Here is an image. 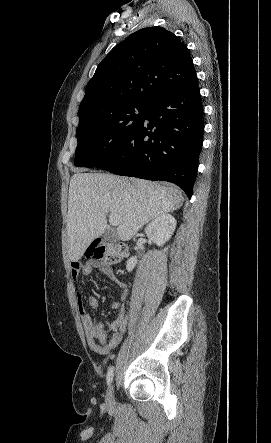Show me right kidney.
<instances>
[{
	"label": "right kidney",
	"mask_w": 271,
	"mask_h": 443,
	"mask_svg": "<svg viewBox=\"0 0 271 443\" xmlns=\"http://www.w3.org/2000/svg\"><path fill=\"white\" fill-rule=\"evenodd\" d=\"M176 223L175 218L166 212V214L157 216L156 220H153V222L148 223L147 227H145V233L148 235L149 239L155 241L157 245H164L165 241H168L173 231H175ZM137 261L138 259L136 255L129 257L126 263L128 271H132Z\"/></svg>",
	"instance_id": "1"
}]
</instances>
